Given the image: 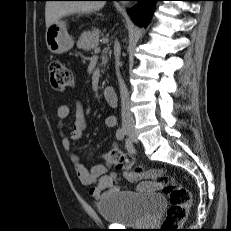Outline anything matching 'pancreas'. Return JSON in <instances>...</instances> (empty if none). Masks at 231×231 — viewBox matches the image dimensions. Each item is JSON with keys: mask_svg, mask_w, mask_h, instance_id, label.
<instances>
[{"mask_svg": "<svg viewBox=\"0 0 231 231\" xmlns=\"http://www.w3.org/2000/svg\"><path fill=\"white\" fill-rule=\"evenodd\" d=\"M99 44V35L94 30L84 31L78 39L77 47L79 49H83L85 51H90L92 49L98 48ZM107 63V58L103 57L102 64L105 65Z\"/></svg>", "mask_w": 231, "mask_h": 231, "instance_id": "1", "label": "pancreas"}]
</instances>
